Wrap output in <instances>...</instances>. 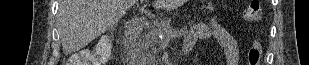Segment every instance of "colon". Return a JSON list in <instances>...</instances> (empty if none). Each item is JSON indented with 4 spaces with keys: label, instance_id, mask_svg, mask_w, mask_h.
<instances>
[{
    "label": "colon",
    "instance_id": "5ec220e1",
    "mask_svg": "<svg viewBox=\"0 0 309 65\" xmlns=\"http://www.w3.org/2000/svg\"><path fill=\"white\" fill-rule=\"evenodd\" d=\"M263 10L258 0H253L249 3L244 12V18L247 22L255 23L262 19ZM113 38L105 36L94 44L91 50H81L72 60L76 65H100L104 63L111 55ZM262 43L259 39L252 41L247 53L248 65H260L262 56Z\"/></svg>",
    "mask_w": 309,
    "mask_h": 65
}]
</instances>
